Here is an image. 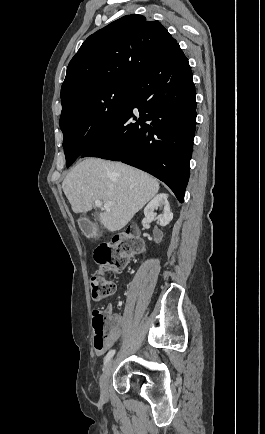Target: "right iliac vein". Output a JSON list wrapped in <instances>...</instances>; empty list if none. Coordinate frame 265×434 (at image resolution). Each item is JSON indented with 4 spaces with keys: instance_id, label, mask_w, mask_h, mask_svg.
<instances>
[{
    "instance_id": "right-iliac-vein-1",
    "label": "right iliac vein",
    "mask_w": 265,
    "mask_h": 434,
    "mask_svg": "<svg viewBox=\"0 0 265 434\" xmlns=\"http://www.w3.org/2000/svg\"><path fill=\"white\" fill-rule=\"evenodd\" d=\"M113 363H114V360H111L107 364V366L104 369L103 374L101 375V378H100L101 395L103 397H105V398L108 397V390H107V388H108V382H109V379H110V375H111V372H112Z\"/></svg>"
}]
</instances>
